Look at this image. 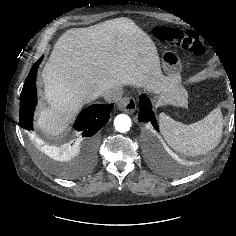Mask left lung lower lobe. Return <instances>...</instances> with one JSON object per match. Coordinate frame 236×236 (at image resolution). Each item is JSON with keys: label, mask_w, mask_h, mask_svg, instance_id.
<instances>
[{"label": "left lung lower lobe", "mask_w": 236, "mask_h": 236, "mask_svg": "<svg viewBox=\"0 0 236 236\" xmlns=\"http://www.w3.org/2000/svg\"><path fill=\"white\" fill-rule=\"evenodd\" d=\"M139 121L145 123H151L153 127L158 130V125L151 109V103L146 95H141L139 98Z\"/></svg>", "instance_id": "1"}]
</instances>
